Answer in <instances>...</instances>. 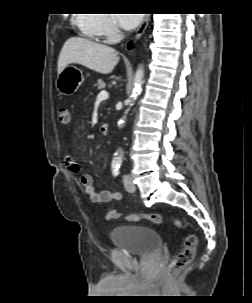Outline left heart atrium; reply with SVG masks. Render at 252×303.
Here are the masks:
<instances>
[{
	"label": "left heart atrium",
	"mask_w": 252,
	"mask_h": 303,
	"mask_svg": "<svg viewBox=\"0 0 252 303\" xmlns=\"http://www.w3.org/2000/svg\"><path fill=\"white\" fill-rule=\"evenodd\" d=\"M116 17L122 28L130 30L139 24L142 16L139 14H116Z\"/></svg>",
	"instance_id": "39dd6f15"
}]
</instances>
